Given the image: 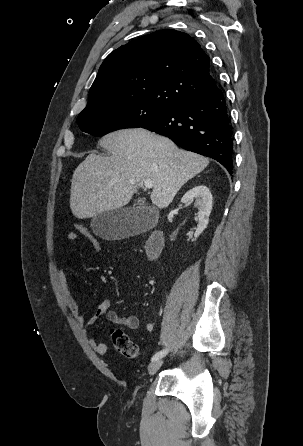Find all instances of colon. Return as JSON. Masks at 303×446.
Instances as JSON below:
<instances>
[{"label": "colon", "instance_id": "obj_1", "mask_svg": "<svg viewBox=\"0 0 303 446\" xmlns=\"http://www.w3.org/2000/svg\"><path fill=\"white\" fill-rule=\"evenodd\" d=\"M75 233L80 236L86 237L92 241L94 251L99 252L101 250V244L88 232V230L80 223L74 224ZM111 343L114 348L122 354L125 358L134 360L139 357L140 351L138 346L130 340L127 333L121 329H112L110 332Z\"/></svg>", "mask_w": 303, "mask_h": 446}]
</instances>
